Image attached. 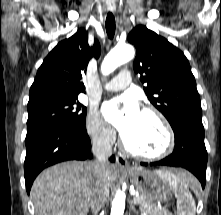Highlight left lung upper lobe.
Returning <instances> with one entry per match:
<instances>
[{
    "label": "left lung upper lobe",
    "mask_w": 221,
    "mask_h": 215,
    "mask_svg": "<svg viewBox=\"0 0 221 215\" xmlns=\"http://www.w3.org/2000/svg\"><path fill=\"white\" fill-rule=\"evenodd\" d=\"M128 41L137 50L133 69L147 83L148 99L170 125L181 116L202 118L200 96L184 53L143 25L129 33Z\"/></svg>",
    "instance_id": "left-lung-upper-lobe-1"
}]
</instances>
